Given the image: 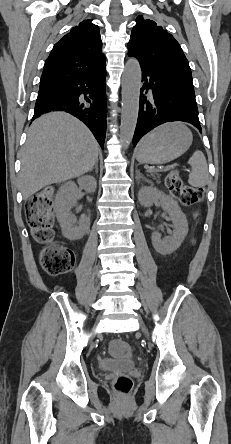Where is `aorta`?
I'll list each match as a JSON object with an SVG mask.
<instances>
[{
  "label": "aorta",
  "mask_w": 231,
  "mask_h": 444,
  "mask_svg": "<svg viewBox=\"0 0 231 444\" xmlns=\"http://www.w3.org/2000/svg\"><path fill=\"white\" fill-rule=\"evenodd\" d=\"M141 76L139 62L130 58L125 64L122 77L120 141L124 149L129 147L137 124Z\"/></svg>",
  "instance_id": "1"
}]
</instances>
